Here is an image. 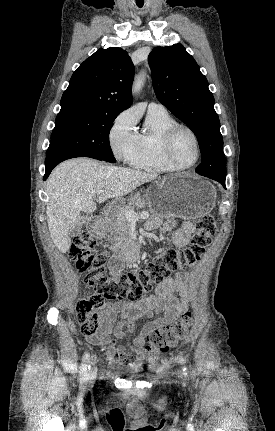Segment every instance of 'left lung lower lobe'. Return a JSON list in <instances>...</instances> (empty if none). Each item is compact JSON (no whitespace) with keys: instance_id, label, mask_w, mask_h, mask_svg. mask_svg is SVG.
Instances as JSON below:
<instances>
[{"instance_id":"obj_1","label":"left lung lower lobe","mask_w":275,"mask_h":431,"mask_svg":"<svg viewBox=\"0 0 275 431\" xmlns=\"http://www.w3.org/2000/svg\"><path fill=\"white\" fill-rule=\"evenodd\" d=\"M202 176H206L208 178H211L213 180H216V181L220 182L222 184V186L225 188V178H226V175H222V174H218V173H215V174L204 173Z\"/></svg>"}]
</instances>
